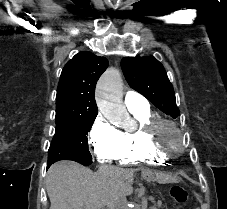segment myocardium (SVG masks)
Listing matches in <instances>:
<instances>
[{
    "mask_svg": "<svg viewBox=\"0 0 227 209\" xmlns=\"http://www.w3.org/2000/svg\"><path fill=\"white\" fill-rule=\"evenodd\" d=\"M163 125L171 126L175 132L181 137L182 145L180 147L164 146L159 139V130ZM142 137L145 143L156 150L157 152L165 155L166 157H171L175 155L182 154L186 151L188 147V139L186 133L179 126V124L169 118L154 116L147 120L141 127Z\"/></svg>",
    "mask_w": 227,
    "mask_h": 209,
    "instance_id": "f54148a6",
    "label": "myocardium"
}]
</instances>
